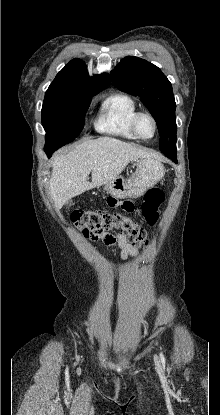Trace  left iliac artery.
<instances>
[{
  "instance_id": "1",
  "label": "left iliac artery",
  "mask_w": 220,
  "mask_h": 415,
  "mask_svg": "<svg viewBox=\"0 0 220 415\" xmlns=\"http://www.w3.org/2000/svg\"><path fill=\"white\" fill-rule=\"evenodd\" d=\"M160 358H161V362L164 364L165 363V356H164L163 352H160Z\"/></svg>"
}]
</instances>
